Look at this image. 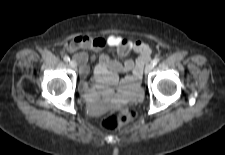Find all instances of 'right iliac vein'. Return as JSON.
<instances>
[{"label": "right iliac vein", "instance_id": "right-iliac-vein-1", "mask_svg": "<svg viewBox=\"0 0 225 155\" xmlns=\"http://www.w3.org/2000/svg\"><path fill=\"white\" fill-rule=\"evenodd\" d=\"M69 65H70L73 69H76V68H77V63H76V61H74V60H71V61L69 62Z\"/></svg>", "mask_w": 225, "mask_h": 155}]
</instances>
